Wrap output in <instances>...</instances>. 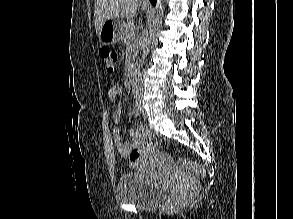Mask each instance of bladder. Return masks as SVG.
Listing matches in <instances>:
<instances>
[{
	"label": "bladder",
	"mask_w": 293,
	"mask_h": 219,
	"mask_svg": "<svg viewBox=\"0 0 293 219\" xmlns=\"http://www.w3.org/2000/svg\"><path fill=\"white\" fill-rule=\"evenodd\" d=\"M166 196L167 189L164 186L151 182L138 173H125L117 183V200L137 208L154 209Z\"/></svg>",
	"instance_id": "bladder-1"
}]
</instances>
